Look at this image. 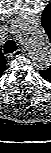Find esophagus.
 <instances>
[{"label":"esophagus","instance_id":"34e87169","mask_svg":"<svg viewBox=\"0 0 51 153\" xmlns=\"http://www.w3.org/2000/svg\"><path fill=\"white\" fill-rule=\"evenodd\" d=\"M22 54H23V50L22 49H18L15 52L12 53V57L20 56Z\"/></svg>","mask_w":51,"mask_h":153}]
</instances>
